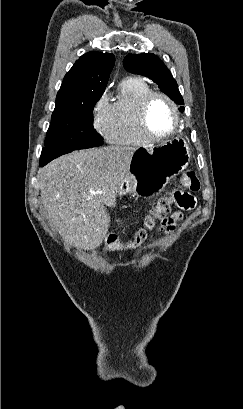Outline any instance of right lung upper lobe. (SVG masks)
I'll return each instance as SVG.
<instances>
[{
  "instance_id": "obj_1",
  "label": "right lung upper lobe",
  "mask_w": 243,
  "mask_h": 409,
  "mask_svg": "<svg viewBox=\"0 0 243 409\" xmlns=\"http://www.w3.org/2000/svg\"><path fill=\"white\" fill-rule=\"evenodd\" d=\"M115 56L109 53L89 52L81 56L65 75L57 93L56 104H88L102 96Z\"/></svg>"
}]
</instances>
